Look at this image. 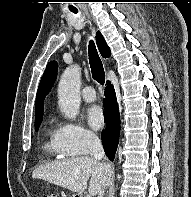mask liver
<instances>
[{"mask_svg": "<svg viewBox=\"0 0 191 197\" xmlns=\"http://www.w3.org/2000/svg\"><path fill=\"white\" fill-rule=\"evenodd\" d=\"M112 172L110 164L81 156L41 165L33 171L32 177L41 178L79 195L87 188L90 178L88 191L91 196H96L107 186Z\"/></svg>", "mask_w": 191, "mask_h": 197, "instance_id": "1", "label": "liver"}]
</instances>
